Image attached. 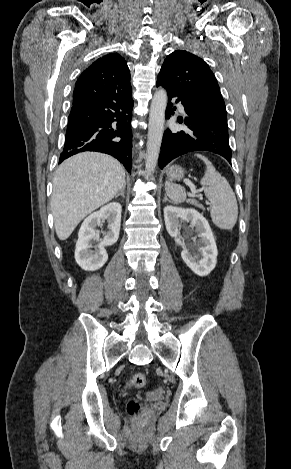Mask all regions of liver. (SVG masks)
Segmentation results:
<instances>
[{"label":"liver","instance_id":"1","mask_svg":"<svg viewBox=\"0 0 291 469\" xmlns=\"http://www.w3.org/2000/svg\"><path fill=\"white\" fill-rule=\"evenodd\" d=\"M124 185V167L111 156L84 152L65 160L56 171L51 197L58 238L66 240L83 218L111 201Z\"/></svg>","mask_w":291,"mask_h":469}]
</instances>
